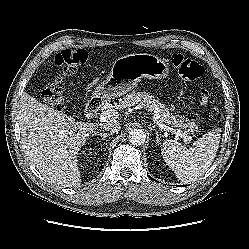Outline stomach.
Masks as SVG:
<instances>
[{
    "label": "stomach",
    "instance_id": "1",
    "mask_svg": "<svg viewBox=\"0 0 249 249\" xmlns=\"http://www.w3.org/2000/svg\"><path fill=\"white\" fill-rule=\"evenodd\" d=\"M169 73V63L158 56L140 53L118 58L111 71L95 89V96L110 100L122 96L143 79H164Z\"/></svg>",
    "mask_w": 249,
    "mask_h": 249
}]
</instances>
